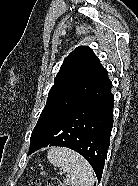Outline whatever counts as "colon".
Instances as JSON below:
<instances>
[{
	"mask_svg": "<svg viewBox=\"0 0 138 186\" xmlns=\"http://www.w3.org/2000/svg\"><path fill=\"white\" fill-rule=\"evenodd\" d=\"M29 186H41L40 180L33 178L29 182ZM47 186H63L62 183L56 178H50L48 180Z\"/></svg>",
	"mask_w": 138,
	"mask_h": 186,
	"instance_id": "1",
	"label": "colon"
}]
</instances>
